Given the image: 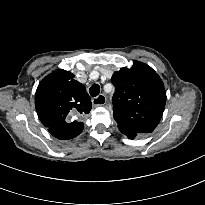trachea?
Wrapping results in <instances>:
<instances>
[{
	"mask_svg": "<svg viewBox=\"0 0 205 205\" xmlns=\"http://www.w3.org/2000/svg\"><path fill=\"white\" fill-rule=\"evenodd\" d=\"M89 93L91 96L96 97L100 93V86L98 84H94L90 87Z\"/></svg>",
	"mask_w": 205,
	"mask_h": 205,
	"instance_id": "trachea-1",
	"label": "trachea"
}]
</instances>
